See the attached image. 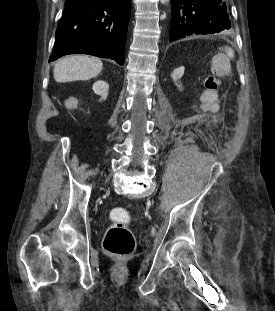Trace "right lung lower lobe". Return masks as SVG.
Returning a JSON list of instances; mask_svg holds the SVG:
<instances>
[{"mask_svg":"<svg viewBox=\"0 0 275 311\" xmlns=\"http://www.w3.org/2000/svg\"><path fill=\"white\" fill-rule=\"evenodd\" d=\"M131 0H78L66 4L49 62L73 53L124 64Z\"/></svg>","mask_w":275,"mask_h":311,"instance_id":"98d812e1","label":"right lung lower lobe"}]
</instances>
